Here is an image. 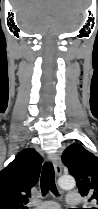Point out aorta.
<instances>
[{
    "instance_id": "aorta-1",
    "label": "aorta",
    "mask_w": 98,
    "mask_h": 209,
    "mask_svg": "<svg viewBox=\"0 0 98 209\" xmlns=\"http://www.w3.org/2000/svg\"><path fill=\"white\" fill-rule=\"evenodd\" d=\"M58 185L64 190H71L75 187L76 182L72 176H62L58 179Z\"/></svg>"
}]
</instances>
